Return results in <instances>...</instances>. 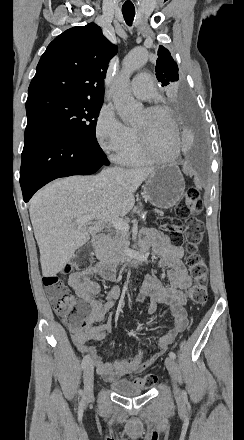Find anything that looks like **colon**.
Returning a JSON list of instances; mask_svg holds the SVG:
<instances>
[{
    "mask_svg": "<svg viewBox=\"0 0 244 440\" xmlns=\"http://www.w3.org/2000/svg\"><path fill=\"white\" fill-rule=\"evenodd\" d=\"M202 207L197 190L190 188L186 199L178 204L174 216L162 214L158 219L159 228L168 231V236L174 245L181 246L185 243V263L193 278V285L188 290V296L191 302L197 305L206 303L208 293L207 267L198 252L204 234V225L200 217ZM181 228L184 229V236L180 234ZM75 253V258L59 273L43 276L42 283L50 295L55 313L63 317L73 330L82 333L86 327L87 314L92 313V306L78 302L75 295L65 287L62 277L88 267L93 252L91 248H77ZM157 379V373H140L132 378L135 383L144 387L153 386Z\"/></svg>",
    "mask_w": 244,
    "mask_h": 440,
    "instance_id": "5ec220e1",
    "label": "colon"
}]
</instances>
